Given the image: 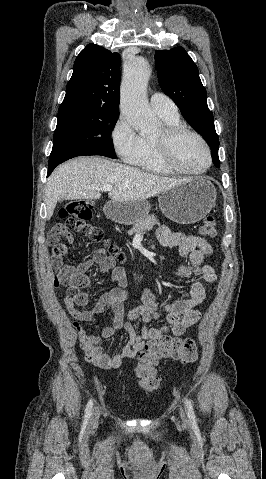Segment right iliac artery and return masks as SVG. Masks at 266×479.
I'll return each instance as SVG.
<instances>
[{
    "instance_id": "right-iliac-artery-1",
    "label": "right iliac artery",
    "mask_w": 266,
    "mask_h": 479,
    "mask_svg": "<svg viewBox=\"0 0 266 479\" xmlns=\"http://www.w3.org/2000/svg\"><path fill=\"white\" fill-rule=\"evenodd\" d=\"M92 408H93V400H89L85 409V415H84V425L87 424L88 420L91 417L92 413Z\"/></svg>"
}]
</instances>
